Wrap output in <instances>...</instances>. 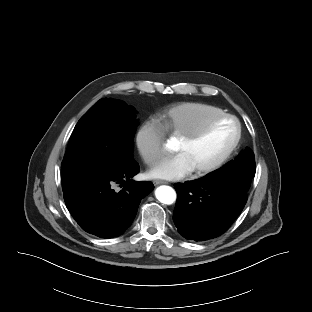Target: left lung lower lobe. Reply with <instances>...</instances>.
<instances>
[{
    "instance_id": "0a47b994",
    "label": "left lung lower lobe",
    "mask_w": 312,
    "mask_h": 312,
    "mask_svg": "<svg viewBox=\"0 0 312 312\" xmlns=\"http://www.w3.org/2000/svg\"><path fill=\"white\" fill-rule=\"evenodd\" d=\"M173 220L188 240L204 241L223 234L242 212L247 193L230 179L207 176L175 184Z\"/></svg>"
}]
</instances>
